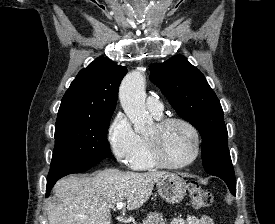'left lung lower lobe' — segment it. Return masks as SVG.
<instances>
[{"instance_id": "left-lung-lower-lobe-1", "label": "left lung lower lobe", "mask_w": 275, "mask_h": 224, "mask_svg": "<svg viewBox=\"0 0 275 224\" xmlns=\"http://www.w3.org/2000/svg\"><path fill=\"white\" fill-rule=\"evenodd\" d=\"M225 181V183L228 185L230 191L232 192V194L236 193V187H235V179L231 178V177H227L223 179Z\"/></svg>"}]
</instances>
